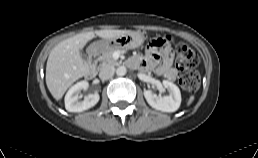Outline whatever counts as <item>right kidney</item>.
I'll use <instances>...</instances> for the list:
<instances>
[{
	"instance_id": "ca27d5eb",
	"label": "right kidney",
	"mask_w": 258,
	"mask_h": 158,
	"mask_svg": "<svg viewBox=\"0 0 258 158\" xmlns=\"http://www.w3.org/2000/svg\"><path fill=\"white\" fill-rule=\"evenodd\" d=\"M89 84L86 80L80 81L73 85L65 95V108L69 112H82L93 106H95L100 96L98 93L89 94L83 101H79L81 98V90H86Z\"/></svg>"
}]
</instances>
